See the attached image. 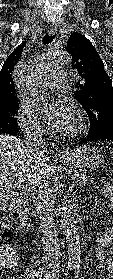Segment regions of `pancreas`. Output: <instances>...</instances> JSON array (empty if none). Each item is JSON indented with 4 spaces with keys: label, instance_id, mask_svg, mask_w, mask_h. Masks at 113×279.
<instances>
[{
    "label": "pancreas",
    "instance_id": "obj_1",
    "mask_svg": "<svg viewBox=\"0 0 113 279\" xmlns=\"http://www.w3.org/2000/svg\"><path fill=\"white\" fill-rule=\"evenodd\" d=\"M72 177L74 180H76V183L80 186L83 187L84 185L87 184V182L90 181V178H88L85 174L80 173V172H74L72 173Z\"/></svg>",
    "mask_w": 113,
    "mask_h": 279
}]
</instances>
